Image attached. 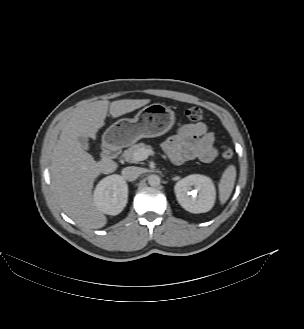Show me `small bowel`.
Here are the masks:
<instances>
[{
  "mask_svg": "<svg viewBox=\"0 0 304 329\" xmlns=\"http://www.w3.org/2000/svg\"><path fill=\"white\" fill-rule=\"evenodd\" d=\"M215 135L203 122L184 124L164 143V150L175 165L198 159L210 163L217 157Z\"/></svg>",
  "mask_w": 304,
  "mask_h": 329,
  "instance_id": "small-bowel-1",
  "label": "small bowel"
}]
</instances>
